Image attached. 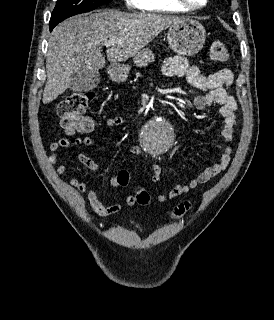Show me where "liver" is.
Listing matches in <instances>:
<instances>
[{
	"label": "liver",
	"mask_w": 274,
	"mask_h": 320,
	"mask_svg": "<svg viewBox=\"0 0 274 320\" xmlns=\"http://www.w3.org/2000/svg\"><path fill=\"white\" fill-rule=\"evenodd\" d=\"M182 20L155 12L126 14L118 10H96L68 18L54 28L46 54L47 82L43 104L56 100L70 88L74 72L101 70L106 64L102 46L114 42L106 52L108 62L118 64L135 58L160 32Z\"/></svg>",
	"instance_id": "obj_1"
}]
</instances>
